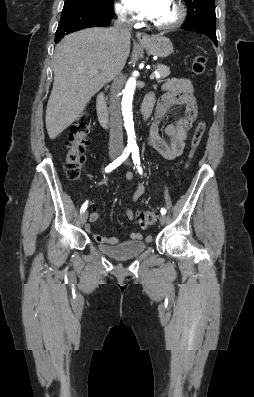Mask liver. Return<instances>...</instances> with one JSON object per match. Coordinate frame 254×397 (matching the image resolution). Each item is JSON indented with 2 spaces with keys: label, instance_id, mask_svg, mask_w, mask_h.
<instances>
[{
  "label": "liver",
  "instance_id": "obj_1",
  "mask_svg": "<svg viewBox=\"0 0 254 397\" xmlns=\"http://www.w3.org/2000/svg\"><path fill=\"white\" fill-rule=\"evenodd\" d=\"M130 39L112 37V28H88L65 36L54 53V82L46 109V128L55 139L85 109L90 99L123 69Z\"/></svg>",
  "mask_w": 254,
  "mask_h": 397
}]
</instances>
